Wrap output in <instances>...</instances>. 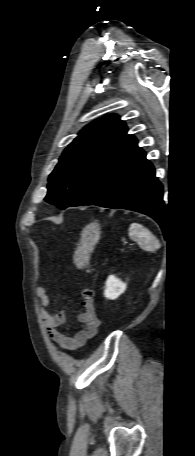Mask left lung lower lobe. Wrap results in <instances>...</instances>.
<instances>
[{
	"label": "left lung lower lobe",
	"mask_w": 195,
	"mask_h": 456,
	"mask_svg": "<svg viewBox=\"0 0 195 456\" xmlns=\"http://www.w3.org/2000/svg\"><path fill=\"white\" fill-rule=\"evenodd\" d=\"M82 205L133 210L160 223L165 210L163 186L136 139L103 185Z\"/></svg>",
	"instance_id": "0a47b994"
}]
</instances>
